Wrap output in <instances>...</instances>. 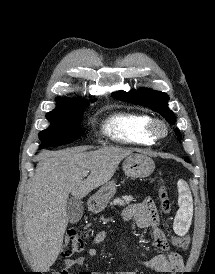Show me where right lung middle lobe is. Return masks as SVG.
<instances>
[{
  "label": "right lung middle lobe",
  "instance_id": "dd1d6c3e",
  "mask_svg": "<svg viewBox=\"0 0 215 274\" xmlns=\"http://www.w3.org/2000/svg\"><path fill=\"white\" fill-rule=\"evenodd\" d=\"M84 106H73L66 102H57V108L46 114L50 127L39 133L40 149L56 147L73 142L81 135L80 121Z\"/></svg>",
  "mask_w": 215,
  "mask_h": 274
}]
</instances>
